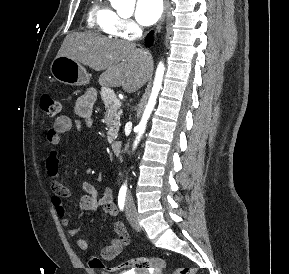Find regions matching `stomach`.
Returning a JSON list of instances; mask_svg holds the SVG:
<instances>
[{"label": "stomach", "mask_w": 289, "mask_h": 274, "mask_svg": "<svg viewBox=\"0 0 289 274\" xmlns=\"http://www.w3.org/2000/svg\"><path fill=\"white\" fill-rule=\"evenodd\" d=\"M50 73L55 80L64 84L82 86L89 83L86 69L77 61L66 56H57L52 61Z\"/></svg>", "instance_id": "obj_1"}]
</instances>
